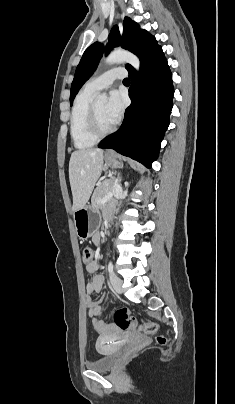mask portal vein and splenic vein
Wrapping results in <instances>:
<instances>
[{
    "mask_svg": "<svg viewBox=\"0 0 235 404\" xmlns=\"http://www.w3.org/2000/svg\"><path fill=\"white\" fill-rule=\"evenodd\" d=\"M112 197H113V193L109 192L100 200V202L101 203H106Z\"/></svg>",
    "mask_w": 235,
    "mask_h": 404,
    "instance_id": "18ae733b",
    "label": "portal vein and splenic vein"
}]
</instances>
